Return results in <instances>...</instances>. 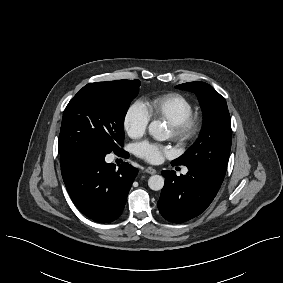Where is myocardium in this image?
I'll return each instance as SVG.
<instances>
[{"instance_id":"obj_1","label":"myocardium","mask_w":283,"mask_h":283,"mask_svg":"<svg viewBox=\"0 0 283 283\" xmlns=\"http://www.w3.org/2000/svg\"><path fill=\"white\" fill-rule=\"evenodd\" d=\"M171 135L180 144H188L194 141L201 130L199 116L191 113L178 123L170 124Z\"/></svg>"}]
</instances>
